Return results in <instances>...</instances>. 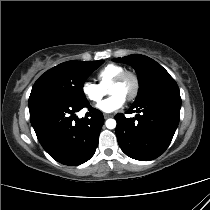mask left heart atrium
<instances>
[{"label": "left heart atrium", "instance_id": "1", "mask_svg": "<svg viewBox=\"0 0 210 210\" xmlns=\"http://www.w3.org/2000/svg\"><path fill=\"white\" fill-rule=\"evenodd\" d=\"M125 98L119 94L111 95L110 97L101 101L96 107L104 113H112L123 107Z\"/></svg>", "mask_w": 210, "mask_h": 210}]
</instances>
